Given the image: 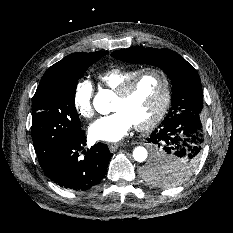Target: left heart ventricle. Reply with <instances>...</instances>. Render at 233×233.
I'll return each mask as SVG.
<instances>
[{
  "label": "left heart ventricle",
  "instance_id": "1",
  "mask_svg": "<svg viewBox=\"0 0 233 233\" xmlns=\"http://www.w3.org/2000/svg\"><path fill=\"white\" fill-rule=\"evenodd\" d=\"M162 92L160 77L153 73L145 74L126 97L115 96L112 110L125 111L134 124L143 123L156 112Z\"/></svg>",
  "mask_w": 233,
  "mask_h": 233
}]
</instances>
